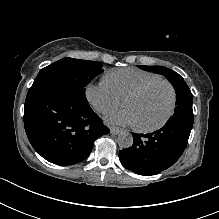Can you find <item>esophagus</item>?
Returning <instances> with one entry per match:
<instances>
[{
    "label": "esophagus",
    "mask_w": 219,
    "mask_h": 219,
    "mask_svg": "<svg viewBox=\"0 0 219 219\" xmlns=\"http://www.w3.org/2000/svg\"><path fill=\"white\" fill-rule=\"evenodd\" d=\"M122 131V129L118 128V127H112L110 129L111 134L113 135H118L120 132Z\"/></svg>",
    "instance_id": "esophagus-1"
}]
</instances>
